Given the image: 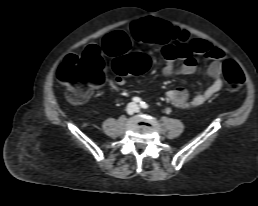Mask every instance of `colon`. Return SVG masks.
Returning <instances> with one entry per match:
<instances>
[{"instance_id":"5ec220e1","label":"colon","mask_w":258,"mask_h":206,"mask_svg":"<svg viewBox=\"0 0 258 206\" xmlns=\"http://www.w3.org/2000/svg\"><path fill=\"white\" fill-rule=\"evenodd\" d=\"M149 66V58L140 53L119 57L115 61V69L122 75H141L148 70ZM56 76L65 86L70 102L74 104L85 102L94 89L105 81L104 63L99 49L87 48L81 55H69L59 66ZM223 76L231 91L238 90L244 83L242 70L232 60L223 63Z\"/></svg>"}]
</instances>
